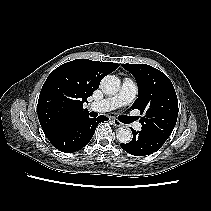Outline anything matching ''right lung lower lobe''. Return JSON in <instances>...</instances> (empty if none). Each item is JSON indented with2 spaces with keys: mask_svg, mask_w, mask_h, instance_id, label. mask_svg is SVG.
Here are the masks:
<instances>
[{
  "mask_svg": "<svg viewBox=\"0 0 211 211\" xmlns=\"http://www.w3.org/2000/svg\"><path fill=\"white\" fill-rule=\"evenodd\" d=\"M108 120L105 116L73 118L62 123L51 135L47 136L51 144L66 153L76 152L86 146L95 133L99 122Z\"/></svg>",
  "mask_w": 211,
  "mask_h": 211,
  "instance_id": "right-lung-lower-lobe-1",
  "label": "right lung lower lobe"
}]
</instances>
